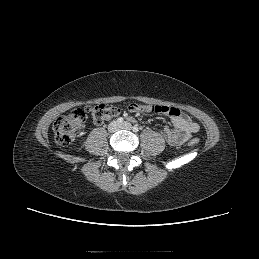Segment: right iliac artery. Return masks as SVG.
<instances>
[{
    "instance_id": "82829eb1",
    "label": "right iliac artery",
    "mask_w": 259,
    "mask_h": 259,
    "mask_svg": "<svg viewBox=\"0 0 259 259\" xmlns=\"http://www.w3.org/2000/svg\"><path fill=\"white\" fill-rule=\"evenodd\" d=\"M123 121H124V119H123L122 117H119V118L117 119V122H118V123H123Z\"/></svg>"
}]
</instances>
